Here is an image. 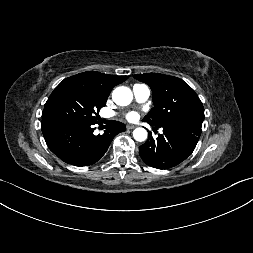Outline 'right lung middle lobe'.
I'll use <instances>...</instances> for the list:
<instances>
[{
    "label": "right lung middle lobe",
    "mask_w": 253,
    "mask_h": 253,
    "mask_svg": "<svg viewBox=\"0 0 253 253\" xmlns=\"http://www.w3.org/2000/svg\"><path fill=\"white\" fill-rule=\"evenodd\" d=\"M107 97L95 92L84 81L71 76L51 93L42 112L41 125L53 123H96Z\"/></svg>",
    "instance_id": "1"
}]
</instances>
